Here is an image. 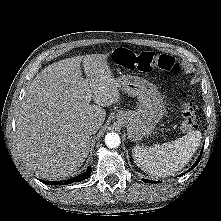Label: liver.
Masks as SVG:
<instances>
[{
  "label": "liver",
  "mask_w": 221,
  "mask_h": 221,
  "mask_svg": "<svg viewBox=\"0 0 221 221\" xmlns=\"http://www.w3.org/2000/svg\"><path fill=\"white\" fill-rule=\"evenodd\" d=\"M106 60L103 54L60 60L37 74L29 86L16 122V146L37 177L65 179L87 158L91 141L87 124L97 121L101 126L104 107L120 100L119 85Z\"/></svg>",
  "instance_id": "obj_1"
}]
</instances>
